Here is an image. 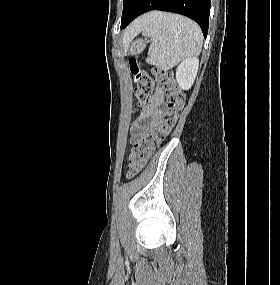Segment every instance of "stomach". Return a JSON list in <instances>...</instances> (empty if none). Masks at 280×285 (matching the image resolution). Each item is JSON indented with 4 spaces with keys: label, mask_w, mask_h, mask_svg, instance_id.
Segmentation results:
<instances>
[{
    "label": "stomach",
    "mask_w": 280,
    "mask_h": 285,
    "mask_svg": "<svg viewBox=\"0 0 280 285\" xmlns=\"http://www.w3.org/2000/svg\"><path fill=\"white\" fill-rule=\"evenodd\" d=\"M147 41L146 40H142V39H136L133 42H131L130 46H129V54L130 55H136L139 54L143 51V49L146 46Z\"/></svg>",
    "instance_id": "obj_1"
}]
</instances>
